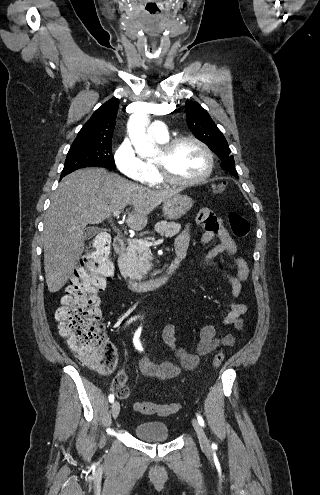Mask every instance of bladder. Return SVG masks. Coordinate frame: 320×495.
I'll return each mask as SVG.
<instances>
[{"label":"bladder","instance_id":"bladder-1","mask_svg":"<svg viewBox=\"0 0 320 495\" xmlns=\"http://www.w3.org/2000/svg\"><path fill=\"white\" fill-rule=\"evenodd\" d=\"M135 435L146 442H166L170 438L167 425L158 421L139 423L134 428Z\"/></svg>","mask_w":320,"mask_h":495}]
</instances>
